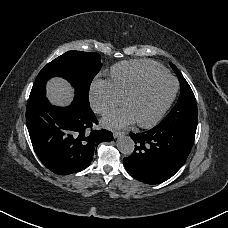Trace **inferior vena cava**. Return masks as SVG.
Masks as SVG:
<instances>
[{
	"mask_svg": "<svg viewBox=\"0 0 228 228\" xmlns=\"http://www.w3.org/2000/svg\"><path fill=\"white\" fill-rule=\"evenodd\" d=\"M93 110H94L95 112L103 111V110H104V106H103V105H94V106H93Z\"/></svg>",
	"mask_w": 228,
	"mask_h": 228,
	"instance_id": "inferior-vena-cava-1",
	"label": "inferior vena cava"
}]
</instances>
